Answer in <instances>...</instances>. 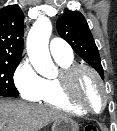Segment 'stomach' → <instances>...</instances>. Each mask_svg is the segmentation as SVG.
<instances>
[{"instance_id": "stomach-1", "label": "stomach", "mask_w": 117, "mask_h": 131, "mask_svg": "<svg viewBox=\"0 0 117 131\" xmlns=\"http://www.w3.org/2000/svg\"><path fill=\"white\" fill-rule=\"evenodd\" d=\"M52 131H79V125L71 118H60L53 122Z\"/></svg>"}]
</instances>
